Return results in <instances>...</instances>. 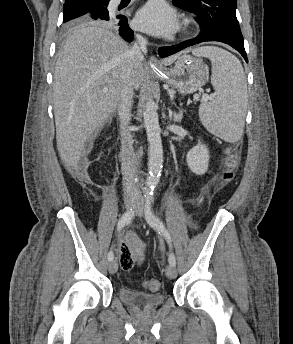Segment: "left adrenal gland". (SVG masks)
Listing matches in <instances>:
<instances>
[{
    "mask_svg": "<svg viewBox=\"0 0 293 344\" xmlns=\"http://www.w3.org/2000/svg\"><path fill=\"white\" fill-rule=\"evenodd\" d=\"M182 111H180L179 113H173L171 110H169V117L172 118L175 122H180L182 119Z\"/></svg>",
    "mask_w": 293,
    "mask_h": 344,
    "instance_id": "obj_1",
    "label": "left adrenal gland"
}]
</instances>
